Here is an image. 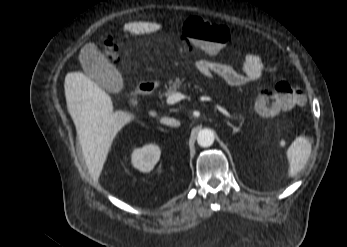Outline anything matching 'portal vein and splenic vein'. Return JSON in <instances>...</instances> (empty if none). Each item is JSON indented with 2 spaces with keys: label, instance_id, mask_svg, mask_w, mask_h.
I'll use <instances>...</instances> for the list:
<instances>
[{
  "label": "portal vein and splenic vein",
  "instance_id": "18ae733b",
  "mask_svg": "<svg viewBox=\"0 0 347 247\" xmlns=\"http://www.w3.org/2000/svg\"><path fill=\"white\" fill-rule=\"evenodd\" d=\"M185 98H187L186 95H184V94H182V93H180V92H176V93H173V94L169 95V96L167 97L166 102H167V104H169V105H173V104H175V103H177V102H179V101H181V100H183V99H185ZM203 100H205V101H212V99H211L210 97H203ZM214 104H215V106L217 107V109H218L223 115H225L226 117H230V116H231L230 113H229L225 108H223L222 106L216 104L215 102H214Z\"/></svg>",
  "mask_w": 347,
  "mask_h": 247
}]
</instances>
